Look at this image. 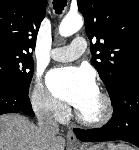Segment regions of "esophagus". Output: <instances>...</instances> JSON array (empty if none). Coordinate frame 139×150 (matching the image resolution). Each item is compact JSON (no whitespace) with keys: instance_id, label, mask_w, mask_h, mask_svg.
Instances as JSON below:
<instances>
[{"instance_id":"esophagus-1","label":"esophagus","mask_w":139,"mask_h":150,"mask_svg":"<svg viewBox=\"0 0 139 150\" xmlns=\"http://www.w3.org/2000/svg\"><path fill=\"white\" fill-rule=\"evenodd\" d=\"M66 139L68 141V143L72 144V145H78L79 142L76 138V135L74 134V132L72 130H68L67 135H66Z\"/></svg>"}]
</instances>
